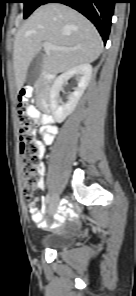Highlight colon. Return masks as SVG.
<instances>
[{"label":"colon","instance_id":"obj_1","mask_svg":"<svg viewBox=\"0 0 136 296\" xmlns=\"http://www.w3.org/2000/svg\"><path fill=\"white\" fill-rule=\"evenodd\" d=\"M31 95V89L25 88L21 91L19 102V151H20V172L22 176V191L24 199L31 213L32 220L35 218L32 214L34 209V190L39 180L37 169L38 145L35 141V130L37 122L31 115L32 106L26 103V99Z\"/></svg>","mask_w":136,"mask_h":296}]
</instances>
